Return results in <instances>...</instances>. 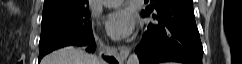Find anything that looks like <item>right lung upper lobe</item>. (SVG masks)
Listing matches in <instances>:
<instances>
[{
	"mask_svg": "<svg viewBox=\"0 0 242 64\" xmlns=\"http://www.w3.org/2000/svg\"><path fill=\"white\" fill-rule=\"evenodd\" d=\"M88 0H45L43 14L61 10L87 8Z\"/></svg>",
	"mask_w": 242,
	"mask_h": 64,
	"instance_id": "1",
	"label": "right lung upper lobe"
}]
</instances>
